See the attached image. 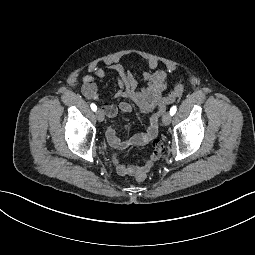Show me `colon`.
<instances>
[{"mask_svg": "<svg viewBox=\"0 0 255 255\" xmlns=\"http://www.w3.org/2000/svg\"><path fill=\"white\" fill-rule=\"evenodd\" d=\"M184 85L179 83L174 86L172 91L159 103L158 111L155 113L156 117H160V115L166 110V108L172 104L174 101H176L184 92ZM148 177V171L146 170H140L135 175L134 178L137 182H143Z\"/></svg>", "mask_w": 255, "mask_h": 255, "instance_id": "5ec220e1", "label": "colon"}]
</instances>
